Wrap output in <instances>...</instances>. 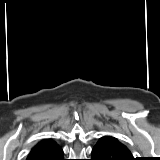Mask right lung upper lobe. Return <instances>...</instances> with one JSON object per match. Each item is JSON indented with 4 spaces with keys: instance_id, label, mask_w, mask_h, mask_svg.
I'll return each instance as SVG.
<instances>
[{
    "instance_id": "cb5924a9",
    "label": "right lung upper lobe",
    "mask_w": 160,
    "mask_h": 160,
    "mask_svg": "<svg viewBox=\"0 0 160 160\" xmlns=\"http://www.w3.org/2000/svg\"><path fill=\"white\" fill-rule=\"evenodd\" d=\"M58 147L56 142L52 139L41 140L30 151L27 160H33L34 158L43 155L54 148Z\"/></svg>"
}]
</instances>
